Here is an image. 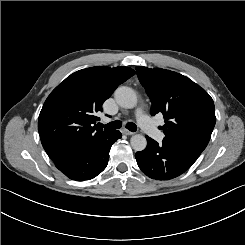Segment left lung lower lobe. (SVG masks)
<instances>
[{"mask_svg": "<svg viewBox=\"0 0 245 245\" xmlns=\"http://www.w3.org/2000/svg\"><path fill=\"white\" fill-rule=\"evenodd\" d=\"M147 147L135 154L137 164L148 177L169 180L186 172L200 154L181 143L163 139L162 145L146 136Z\"/></svg>", "mask_w": 245, "mask_h": 245, "instance_id": "obj_1", "label": "left lung lower lobe"}]
</instances>
